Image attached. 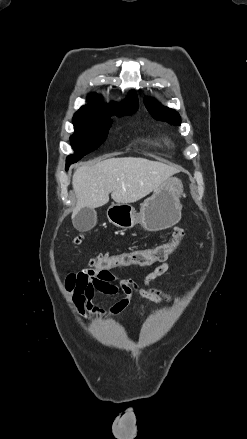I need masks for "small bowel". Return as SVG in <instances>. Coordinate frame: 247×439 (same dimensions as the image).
<instances>
[{
    "label": "small bowel",
    "mask_w": 247,
    "mask_h": 439,
    "mask_svg": "<svg viewBox=\"0 0 247 439\" xmlns=\"http://www.w3.org/2000/svg\"><path fill=\"white\" fill-rule=\"evenodd\" d=\"M169 269L168 262H162L144 278V285H138L132 279H119L115 274L106 271H95L91 268L83 269L77 273L69 274L64 282V287L79 314L85 316H109L123 311L130 303L134 294L159 304H168L172 297L168 292L162 291L152 283ZM95 291L105 295H115L122 292L124 297L111 308L105 310L92 303ZM139 312L145 315V309L140 306Z\"/></svg>",
    "instance_id": "obj_1"
}]
</instances>
